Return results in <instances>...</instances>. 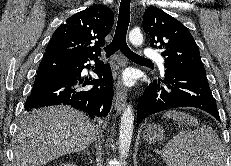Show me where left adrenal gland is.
Returning a JSON list of instances; mask_svg holds the SVG:
<instances>
[{"mask_svg": "<svg viewBox=\"0 0 231 166\" xmlns=\"http://www.w3.org/2000/svg\"><path fill=\"white\" fill-rule=\"evenodd\" d=\"M144 157L146 159L147 157H153V155H151L150 153L144 152Z\"/></svg>", "mask_w": 231, "mask_h": 166, "instance_id": "1", "label": "left adrenal gland"}]
</instances>
